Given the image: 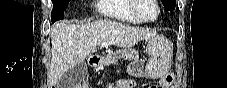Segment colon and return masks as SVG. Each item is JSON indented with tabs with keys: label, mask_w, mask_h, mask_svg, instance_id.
Instances as JSON below:
<instances>
[{
	"label": "colon",
	"mask_w": 227,
	"mask_h": 88,
	"mask_svg": "<svg viewBox=\"0 0 227 88\" xmlns=\"http://www.w3.org/2000/svg\"><path fill=\"white\" fill-rule=\"evenodd\" d=\"M151 88H160V86H158V85L157 86H151Z\"/></svg>",
	"instance_id": "5ec220e1"
}]
</instances>
